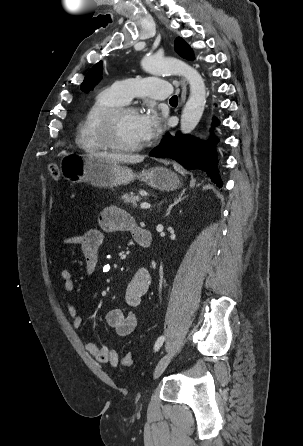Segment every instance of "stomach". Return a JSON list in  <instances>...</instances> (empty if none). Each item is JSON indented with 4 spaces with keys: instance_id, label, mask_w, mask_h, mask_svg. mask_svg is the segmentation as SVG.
Segmentation results:
<instances>
[{
    "instance_id": "0dacf381",
    "label": "stomach",
    "mask_w": 303,
    "mask_h": 446,
    "mask_svg": "<svg viewBox=\"0 0 303 446\" xmlns=\"http://www.w3.org/2000/svg\"><path fill=\"white\" fill-rule=\"evenodd\" d=\"M62 176L71 183L89 182L100 188L128 184L136 178L161 191H173L181 185L178 175L164 167L134 173L130 168L111 162L66 153L60 161Z\"/></svg>"
}]
</instances>
